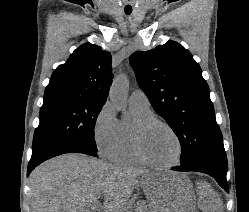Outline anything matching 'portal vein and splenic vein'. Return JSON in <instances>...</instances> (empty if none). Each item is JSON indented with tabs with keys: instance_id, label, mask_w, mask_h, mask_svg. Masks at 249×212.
I'll list each match as a JSON object with an SVG mask.
<instances>
[{
	"instance_id": "1",
	"label": "portal vein and splenic vein",
	"mask_w": 249,
	"mask_h": 212,
	"mask_svg": "<svg viewBox=\"0 0 249 212\" xmlns=\"http://www.w3.org/2000/svg\"><path fill=\"white\" fill-rule=\"evenodd\" d=\"M94 206H95V208H99L100 202H95Z\"/></svg>"
}]
</instances>
